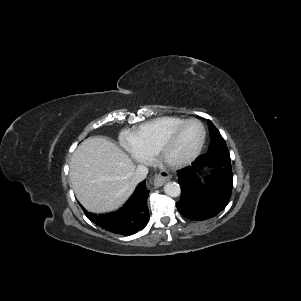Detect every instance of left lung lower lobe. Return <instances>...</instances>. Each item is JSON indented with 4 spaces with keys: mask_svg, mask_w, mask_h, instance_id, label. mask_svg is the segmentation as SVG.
Listing matches in <instances>:
<instances>
[{
    "mask_svg": "<svg viewBox=\"0 0 301 301\" xmlns=\"http://www.w3.org/2000/svg\"><path fill=\"white\" fill-rule=\"evenodd\" d=\"M181 198L179 212L190 220H206L229 203L233 173L229 153L199 156L191 166L177 171Z\"/></svg>",
    "mask_w": 301,
    "mask_h": 301,
    "instance_id": "left-lung-lower-lobe-1",
    "label": "left lung lower lobe"
}]
</instances>
